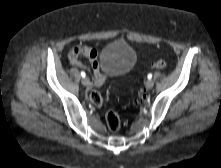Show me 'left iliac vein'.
Returning a JSON list of instances; mask_svg holds the SVG:
<instances>
[{
  "mask_svg": "<svg viewBox=\"0 0 221 168\" xmlns=\"http://www.w3.org/2000/svg\"><path fill=\"white\" fill-rule=\"evenodd\" d=\"M147 89H151L154 86V82L152 80H148L145 83Z\"/></svg>",
  "mask_w": 221,
  "mask_h": 168,
  "instance_id": "left-iliac-vein-1",
  "label": "left iliac vein"
}]
</instances>
